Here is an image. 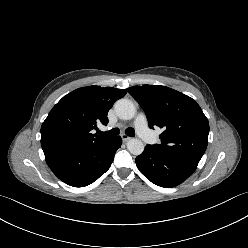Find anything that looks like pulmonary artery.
Segmentation results:
<instances>
[{"mask_svg": "<svg viewBox=\"0 0 248 248\" xmlns=\"http://www.w3.org/2000/svg\"><path fill=\"white\" fill-rule=\"evenodd\" d=\"M134 127L139 137L147 143L155 141V135L148 127L147 118L143 113H139L134 119Z\"/></svg>", "mask_w": 248, "mask_h": 248, "instance_id": "pulmonary-artery-1", "label": "pulmonary artery"}]
</instances>
